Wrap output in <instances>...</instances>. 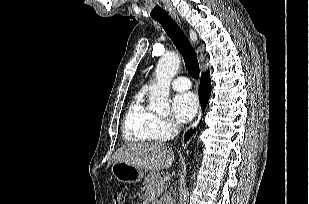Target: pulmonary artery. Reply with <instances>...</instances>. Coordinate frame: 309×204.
Masks as SVG:
<instances>
[{"mask_svg": "<svg viewBox=\"0 0 309 204\" xmlns=\"http://www.w3.org/2000/svg\"><path fill=\"white\" fill-rule=\"evenodd\" d=\"M171 86L177 91H184L191 88V83L186 77H177L172 80Z\"/></svg>", "mask_w": 309, "mask_h": 204, "instance_id": "e3ab8cb5", "label": "pulmonary artery"}]
</instances>
